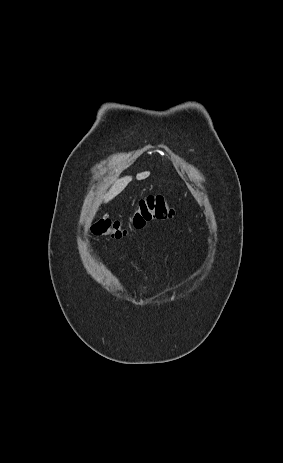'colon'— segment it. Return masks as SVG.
Segmentation results:
<instances>
[{
  "mask_svg": "<svg viewBox=\"0 0 283 463\" xmlns=\"http://www.w3.org/2000/svg\"><path fill=\"white\" fill-rule=\"evenodd\" d=\"M174 210L162 196H149L142 199L130 218L129 226L119 220L100 217L92 225V231L97 235H107L115 239L126 236L131 229H140L152 220L170 219Z\"/></svg>",
  "mask_w": 283,
  "mask_h": 463,
  "instance_id": "1",
  "label": "colon"
}]
</instances>
